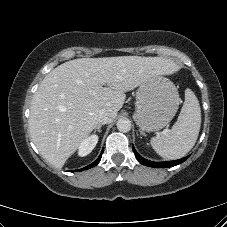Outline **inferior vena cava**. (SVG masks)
Instances as JSON below:
<instances>
[{
  "label": "inferior vena cava",
  "mask_w": 227,
  "mask_h": 227,
  "mask_svg": "<svg viewBox=\"0 0 227 227\" xmlns=\"http://www.w3.org/2000/svg\"><path fill=\"white\" fill-rule=\"evenodd\" d=\"M116 112L111 109H102L99 112V122L102 124H109L116 117Z\"/></svg>",
  "instance_id": "obj_1"
}]
</instances>
